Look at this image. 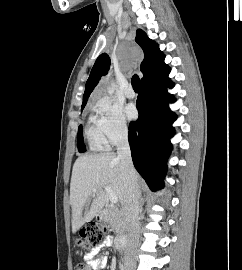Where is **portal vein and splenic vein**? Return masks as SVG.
I'll list each match as a JSON object with an SVG mask.
<instances>
[{"label":"portal vein and splenic vein","mask_w":242,"mask_h":270,"mask_svg":"<svg viewBox=\"0 0 242 270\" xmlns=\"http://www.w3.org/2000/svg\"><path fill=\"white\" fill-rule=\"evenodd\" d=\"M110 201L112 204H116L118 202V198L117 196L113 193L112 189L109 186H105L104 187ZM92 192L95 193L96 192V188L92 189Z\"/></svg>","instance_id":"1"}]
</instances>
